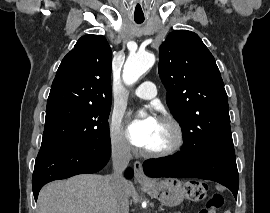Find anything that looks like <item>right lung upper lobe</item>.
I'll return each mask as SVG.
<instances>
[{"mask_svg": "<svg viewBox=\"0 0 270 213\" xmlns=\"http://www.w3.org/2000/svg\"><path fill=\"white\" fill-rule=\"evenodd\" d=\"M111 48L102 35H85L63 58L47 108L58 105L111 106Z\"/></svg>", "mask_w": 270, "mask_h": 213, "instance_id": "obj_1", "label": "right lung upper lobe"}]
</instances>
